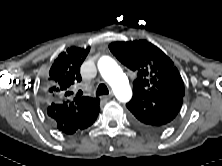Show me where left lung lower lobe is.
Here are the masks:
<instances>
[{"instance_id": "left-lung-lower-lobe-1", "label": "left lung lower lobe", "mask_w": 222, "mask_h": 166, "mask_svg": "<svg viewBox=\"0 0 222 166\" xmlns=\"http://www.w3.org/2000/svg\"><path fill=\"white\" fill-rule=\"evenodd\" d=\"M182 102L183 96L179 94L160 93L153 98L134 94L126 106L134 125L145 130H159L176 117Z\"/></svg>"}]
</instances>
